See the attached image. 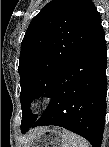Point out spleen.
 <instances>
[{"label":"spleen","instance_id":"3e777b00","mask_svg":"<svg viewBox=\"0 0 109 147\" xmlns=\"http://www.w3.org/2000/svg\"><path fill=\"white\" fill-rule=\"evenodd\" d=\"M64 139V147H89L87 140L69 131L65 132Z\"/></svg>","mask_w":109,"mask_h":147}]
</instances>
